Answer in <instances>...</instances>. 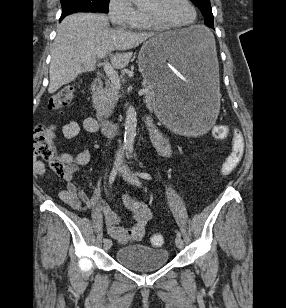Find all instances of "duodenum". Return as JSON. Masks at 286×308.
Masks as SVG:
<instances>
[{
	"label": "duodenum",
	"instance_id": "410a0bca",
	"mask_svg": "<svg viewBox=\"0 0 286 308\" xmlns=\"http://www.w3.org/2000/svg\"><path fill=\"white\" fill-rule=\"evenodd\" d=\"M103 87V80L101 78H95L91 84V89L92 92L97 94ZM145 122H148L145 120ZM99 126L101 128V131L106 135V136H114L119 134L120 132V124L112 121H108L105 119H100L99 120Z\"/></svg>",
	"mask_w": 286,
	"mask_h": 308
}]
</instances>
